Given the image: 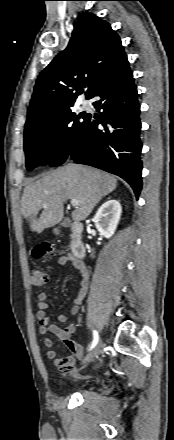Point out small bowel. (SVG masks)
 I'll return each mask as SVG.
<instances>
[{"instance_id": "1", "label": "small bowel", "mask_w": 174, "mask_h": 440, "mask_svg": "<svg viewBox=\"0 0 174 440\" xmlns=\"http://www.w3.org/2000/svg\"><path fill=\"white\" fill-rule=\"evenodd\" d=\"M58 263L62 266L71 264L75 268L81 270L83 273V277L80 282L79 292L74 299V305L70 309L71 314H77L79 312V306L83 303L86 297L88 289V275L81 267L80 262L71 254L62 255L59 258ZM37 298L38 303L36 318L39 321V333L44 336L43 343L46 347V355L50 359H55V366L57 367V369L63 372L64 375L69 376L74 380H77L80 377V374L75 370L74 363L83 354V347L74 340V335L77 332V327L74 324H70L65 328H61L55 324H52L50 318L47 315V294L44 292L39 293ZM56 319L59 323H65L68 320V315L60 314L57 316ZM48 334H53L57 338H59L66 345V347L70 349L73 355L57 359L54 343L49 337H47ZM105 375L109 376L110 372L107 371Z\"/></svg>"}]
</instances>
